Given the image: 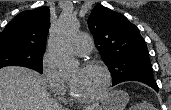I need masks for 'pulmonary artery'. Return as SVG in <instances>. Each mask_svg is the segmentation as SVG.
Here are the masks:
<instances>
[{
  "label": "pulmonary artery",
  "mask_w": 171,
  "mask_h": 110,
  "mask_svg": "<svg viewBox=\"0 0 171 110\" xmlns=\"http://www.w3.org/2000/svg\"><path fill=\"white\" fill-rule=\"evenodd\" d=\"M92 46V39L86 34H78L73 40V50L77 55L90 53Z\"/></svg>",
  "instance_id": "e3ab8cb5"
}]
</instances>
